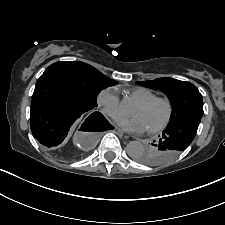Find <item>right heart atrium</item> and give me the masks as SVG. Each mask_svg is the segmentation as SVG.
I'll use <instances>...</instances> for the list:
<instances>
[{
	"label": "right heart atrium",
	"mask_w": 225,
	"mask_h": 225,
	"mask_svg": "<svg viewBox=\"0 0 225 225\" xmlns=\"http://www.w3.org/2000/svg\"><path fill=\"white\" fill-rule=\"evenodd\" d=\"M97 104L101 111L109 116L115 117L120 112V98L118 91L113 87L101 90L97 95Z\"/></svg>",
	"instance_id": "right-heart-atrium-1"
}]
</instances>
